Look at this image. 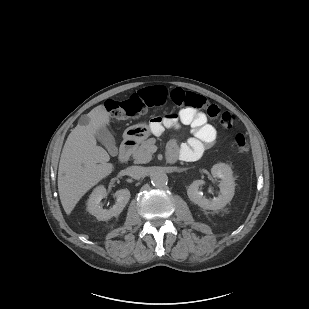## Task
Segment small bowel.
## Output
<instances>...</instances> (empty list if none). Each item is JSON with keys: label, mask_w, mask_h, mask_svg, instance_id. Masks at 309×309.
<instances>
[{"label": "small bowel", "mask_w": 309, "mask_h": 309, "mask_svg": "<svg viewBox=\"0 0 309 309\" xmlns=\"http://www.w3.org/2000/svg\"><path fill=\"white\" fill-rule=\"evenodd\" d=\"M181 122L192 128L193 136L189 138L186 144L178 145L176 140L168 143V156L170 161L174 162L178 158H194L210 147L216 139V129L207 122L206 116L202 112L190 108L182 109L178 115H166L161 120L153 121V127L160 130L162 126L174 127Z\"/></svg>", "instance_id": "small-bowel-1"}]
</instances>
